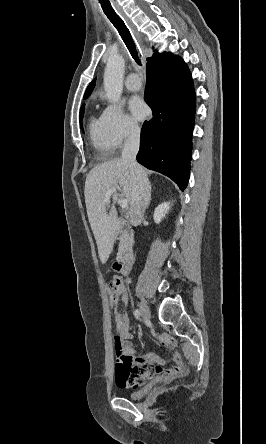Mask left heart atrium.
<instances>
[{"label":"left heart atrium","instance_id":"obj_1","mask_svg":"<svg viewBox=\"0 0 266 444\" xmlns=\"http://www.w3.org/2000/svg\"><path fill=\"white\" fill-rule=\"evenodd\" d=\"M129 109L135 118L142 120L148 114V108L144 101L139 97H133L129 101Z\"/></svg>","mask_w":266,"mask_h":444}]
</instances>
